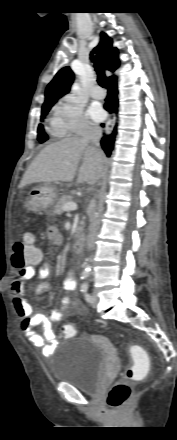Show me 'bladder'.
<instances>
[{"mask_svg": "<svg viewBox=\"0 0 177 440\" xmlns=\"http://www.w3.org/2000/svg\"><path fill=\"white\" fill-rule=\"evenodd\" d=\"M110 343L105 339L75 338L60 343L50 366L51 378L70 383L80 391L96 395L109 360Z\"/></svg>", "mask_w": 177, "mask_h": 440, "instance_id": "31cf9c89", "label": "bladder"}]
</instances>
